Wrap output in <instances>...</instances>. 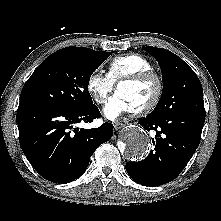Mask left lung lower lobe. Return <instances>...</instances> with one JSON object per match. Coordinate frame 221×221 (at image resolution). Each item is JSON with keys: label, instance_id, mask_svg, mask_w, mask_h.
<instances>
[{"label": "left lung lower lobe", "instance_id": "1", "mask_svg": "<svg viewBox=\"0 0 221 221\" xmlns=\"http://www.w3.org/2000/svg\"><path fill=\"white\" fill-rule=\"evenodd\" d=\"M204 122L205 116L186 111L141 119L139 124L147 131H156L155 148L146 159L126 164L129 176L150 187L174 180L197 149Z\"/></svg>", "mask_w": 221, "mask_h": 221}]
</instances>
